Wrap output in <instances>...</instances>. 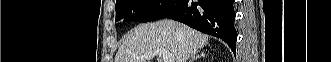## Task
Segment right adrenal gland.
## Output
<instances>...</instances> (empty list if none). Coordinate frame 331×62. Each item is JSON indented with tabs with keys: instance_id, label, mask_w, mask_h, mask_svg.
Returning a JSON list of instances; mask_svg holds the SVG:
<instances>
[{
	"instance_id": "obj_1",
	"label": "right adrenal gland",
	"mask_w": 331,
	"mask_h": 62,
	"mask_svg": "<svg viewBox=\"0 0 331 62\" xmlns=\"http://www.w3.org/2000/svg\"><path fill=\"white\" fill-rule=\"evenodd\" d=\"M206 56V54L204 53V52H201L200 54H192L191 56H190V60H189V62H194L195 60H197V59H199V58H202V57H205Z\"/></svg>"
}]
</instances>
